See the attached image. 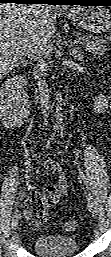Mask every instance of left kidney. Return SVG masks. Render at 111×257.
Here are the masks:
<instances>
[{"label": "left kidney", "instance_id": "5707ae66", "mask_svg": "<svg viewBox=\"0 0 111 257\" xmlns=\"http://www.w3.org/2000/svg\"><path fill=\"white\" fill-rule=\"evenodd\" d=\"M108 101L104 96H101L99 102L97 103V108H102L103 106L107 105Z\"/></svg>", "mask_w": 111, "mask_h": 257}]
</instances>
